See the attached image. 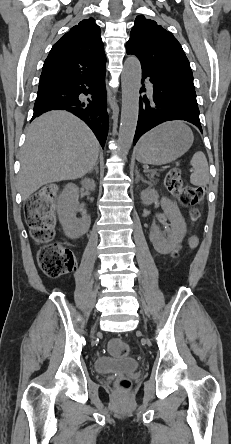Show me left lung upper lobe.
I'll list each match as a JSON object with an SVG mask.
<instances>
[{"mask_svg": "<svg viewBox=\"0 0 231 444\" xmlns=\"http://www.w3.org/2000/svg\"><path fill=\"white\" fill-rule=\"evenodd\" d=\"M126 49L138 57L142 70L159 72L194 89L190 63L180 43L155 21L137 16Z\"/></svg>", "mask_w": 231, "mask_h": 444, "instance_id": "5c2ea615", "label": "left lung upper lobe"}]
</instances>
